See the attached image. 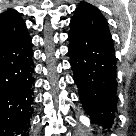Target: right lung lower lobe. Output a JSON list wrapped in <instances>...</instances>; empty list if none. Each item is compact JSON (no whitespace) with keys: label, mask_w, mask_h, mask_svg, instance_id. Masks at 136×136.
I'll return each instance as SVG.
<instances>
[{"label":"right lung lower lobe","mask_w":136,"mask_h":136,"mask_svg":"<svg viewBox=\"0 0 136 136\" xmlns=\"http://www.w3.org/2000/svg\"><path fill=\"white\" fill-rule=\"evenodd\" d=\"M29 34L0 44V136H27L32 111Z\"/></svg>","instance_id":"1"}]
</instances>
